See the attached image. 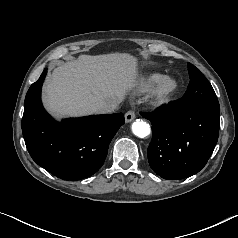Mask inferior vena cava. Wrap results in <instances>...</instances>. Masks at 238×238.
<instances>
[{
	"label": "inferior vena cava",
	"instance_id": "602c4592",
	"mask_svg": "<svg viewBox=\"0 0 238 238\" xmlns=\"http://www.w3.org/2000/svg\"><path fill=\"white\" fill-rule=\"evenodd\" d=\"M119 106V102L103 103L97 107V111L101 114H109L115 111Z\"/></svg>",
	"mask_w": 238,
	"mask_h": 238
}]
</instances>
